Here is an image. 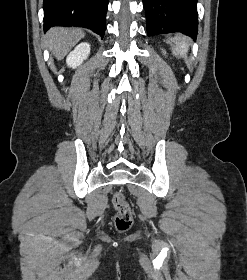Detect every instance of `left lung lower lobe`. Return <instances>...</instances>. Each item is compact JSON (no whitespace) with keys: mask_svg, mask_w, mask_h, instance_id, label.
Listing matches in <instances>:
<instances>
[{"mask_svg":"<svg viewBox=\"0 0 247 280\" xmlns=\"http://www.w3.org/2000/svg\"><path fill=\"white\" fill-rule=\"evenodd\" d=\"M197 0H143L148 36L181 32L192 39L198 33Z\"/></svg>","mask_w":247,"mask_h":280,"instance_id":"left-lung-lower-lobe-1","label":"left lung lower lobe"}]
</instances>
